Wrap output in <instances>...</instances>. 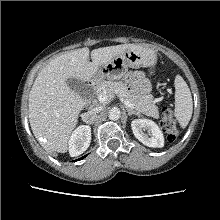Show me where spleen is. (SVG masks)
<instances>
[{"mask_svg": "<svg viewBox=\"0 0 220 220\" xmlns=\"http://www.w3.org/2000/svg\"><path fill=\"white\" fill-rule=\"evenodd\" d=\"M175 110L174 115L180 126L185 128L193 112V102L190 89L184 79L177 75L175 78Z\"/></svg>", "mask_w": 220, "mask_h": 220, "instance_id": "3e777b00", "label": "spleen"}]
</instances>
